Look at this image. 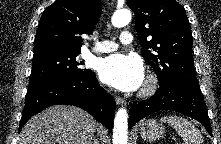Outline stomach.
<instances>
[{
	"label": "stomach",
	"mask_w": 221,
	"mask_h": 144,
	"mask_svg": "<svg viewBox=\"0 0 221 144\" xmlns=\"http://www.w3.org/2000/svg\"><path fill=\"white\" fill-rule=\"evenodd\" d=\"M164 127L154 119H149L140 124V135L143 139L155 141L163 137Z\"/></svg>",
	"instance_id": "1"
}]
</instances>
